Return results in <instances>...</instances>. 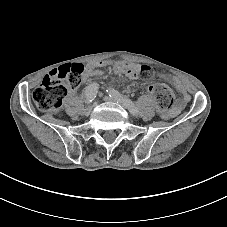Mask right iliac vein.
Segmentation results:
<instances>
[{
  "mask_svg": "<svg viewBox=\"0 0 227 227\" xmlns=\"http://www.w3.org/2000/svg\"><path fill=\"white\" fill-rule=\"evenodd\" d=\"M95 104L96 103L91 104L85 109L86 114H89L92 111V109L94 108Z\"/></svg>",
  "mask_w": 227,
  "mask_h": 227,
  "instance_id": "obj_1",
  "label": "right iliac vein"
}]
</instances>
